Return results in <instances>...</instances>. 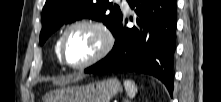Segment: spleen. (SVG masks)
<instances>
[{
    "instance_id": "1",
    "label": "spleen",
    "mask_w": 221,
    "mask_h": 102,
    "mask_svg": "<svg viewBox=\"0 0 221 102\" xmlns=\"http://www.w3.org/2000/svg\"><path fill=\"white\" fill-rule=\"evenodd\" d=\"M124 87L129 98H134L137 93V86L131 80L124 81Z\"/></svg>"
}]
</instances>
